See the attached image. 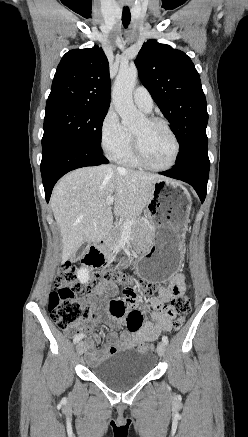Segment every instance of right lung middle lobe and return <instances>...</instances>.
Returning a JSON list of instances; mask_svg holds the SVG:
<instances>
[{
	"label": "right lung middle lobe",
	"mask_w": 248,
	"mask_h": 437,
	"mask_svg": "<svg viewBox=\"0 0 248 437\" xmlns=\"http://www.w3.org/2000/svg\"><path fill=\"white\" fill-rule=\"evenodd\" d=\"M107 111L69 101L47 102L42 146L68 140L102 152L101 130Z\"/></svg>",
	"instance_id": "right-lung-middle-lobe-1"
}]
</instances>
